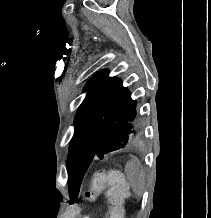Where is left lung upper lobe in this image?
I'll return each instance as SVG.
<instances>
[{"instance_id":"1","label":"left lung upper lobe","mask_w":211,"mask_h":218,"mask_svg":"<svg viewBox=\"0 0 211 218\" xmlns=\"http://www.w3.org/2000/svg\"><path fill=\"white\" fill-rule=\"evenodd\" d=\"M103 70L86 84L87 95L75 116L70 142L67 172L69 197H78L83 177L95 156L123 148L135 140L140 113L137 102L117 77Z\"/></svg>"}]
</instances>
